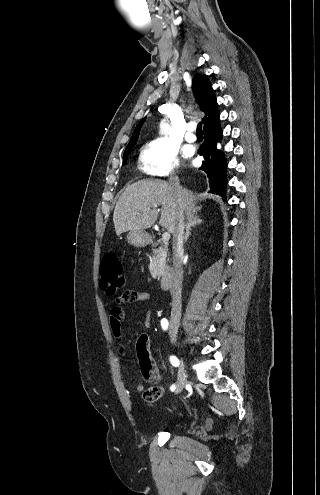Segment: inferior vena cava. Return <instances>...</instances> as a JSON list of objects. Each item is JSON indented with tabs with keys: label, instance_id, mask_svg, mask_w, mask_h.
<instances>
[{
	"label": "inferior vena cava",
	"instance_id": "obj_1",
	"mask_svg": "<svg viewBox=\"0 0 320 495\" xmlns=\"http://www.w3.org/2000/svg\"><path fill=\"white\" fill-rule=\"evenodd\" d=\"M172 190L175 192L178 200L181 199V188L179 185L178 176H172L169 181ZM184 214L180 204L178 209L177 224L173 233V284L171 289L172 294V310H171V329L177 330L179 327L182 311V255H183V240H184Z\"/></svg>",
	"mask_w": 320,
	"mask_h": 495
}]
</instances>
